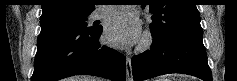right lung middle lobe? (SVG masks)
<instances>
[{
	"label": "right lung middle lobe",
	"mask_w": 237,
	"mask_h": 81,
	"mask_svg": "<svg viewBox=\"0 0 237 81\" xmlns=\"http://www.w3.org/2000/svg\"><path fill=\"white\" fill-rule=\"evenodd\" d=\"M89 15L86 16H79V17H64V18H54V19H47V20H40V25H72L75 27H79L85 30H92L96 27H87V18Z\"/></svg>",
	"instance_id": "obj_1"
}]
</instances>
